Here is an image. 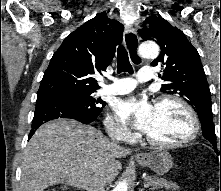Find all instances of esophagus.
<instances>
[{"label": "esophagus", "instance_id": "34e87169", "mask_svg": "<svg viewBox=\"0 0 221 191\" xmlns=\"http://www.w3.org/2000/svg\"><path fill=\"white\" fill-rule=\"evenodd\" d=\"M124 44L130 54L131 60L138 64L141 60L137 56V48L139 46V39L136 33V30L128 26L124 30Z\"/></svg>", "mask_w": 221, "mask_h": 191}]
</instances>
